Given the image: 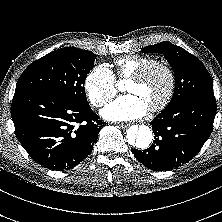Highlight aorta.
Listing matches in <instances>:
<instances>
[{"label": "aorta", "mask_w": 222, "mask_h": 222, "mask_svg": "<svg viewBox=\"0 0 222 222\" xmlns=\"http://www.w3.org/2000/svg\"><path fill=\"white\" fill-rule=\"evenodd\" d=\"M126 140L132 148L144 150L151 145L153 133L146 125H134L127 130Z\"/></svg>", "instance_id": "762f6f07"}]
</instances>
